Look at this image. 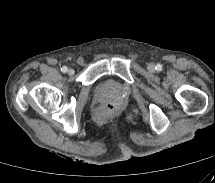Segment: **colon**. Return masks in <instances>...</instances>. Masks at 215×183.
Returning a JSON list of instances; mask_svg holds the SVG:
<instances>
[{"mask_svg": "<svg viewBox=\"0 0 215 183\" xmlns=\"http://www.w3.org/2000/svg\"><path fill=\"white\" fill-rule=\"evenodd\" d=\"M116 110V107L112 104L106 105L102 108L101 112H100V116L101 117H107L112 115Z\"/></svg>", "mask_w": 215, "mask_h": 183, "instance_id": "colon-1", "label": "colon"}]
</instances>
